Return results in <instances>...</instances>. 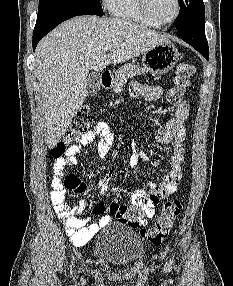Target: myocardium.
<instances>
[{"label":"myocardium","instance_id":"1","mask_svg":"<svg viewBox=\"0 0 233 286\" xmlns=\"http://www.w3.org/2000/svg\"><path fill=\"white\" fill-rule=\"evenodd\" d=\"M139 2V6L143 12V14L145 15V17L154 25L157 27H163V26H168L173 24L178 17L180 16L181 13V3L180 0H175V4H176V13L173 16L172 19H170L169 21L166 22H158L156 20H154V18L152 17L151 13H150V9H149V0H138Z\"/></svg>","mask_w":233,"mask_h":286}]
</instances>
